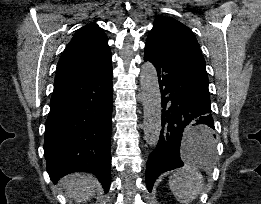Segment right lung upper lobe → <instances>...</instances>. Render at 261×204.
Masks as SVG:
<instances>
[{"instance_id": "cb5924a9", "label": "right lung upper lobe", "mask_w": 261, "mask_h": 204, "mask_svg": "<svg viewBox=\"0 0 261 204\" xmlns=\"http://www.w3.org/2000/svg\"><path fill=\"white\" fill-rule=\"evenodd\" d=\"M111 61L108 39L95 23L77 31L66 46L58 65L55 80L88 73Z\"/></svg>"}]
</instances>
